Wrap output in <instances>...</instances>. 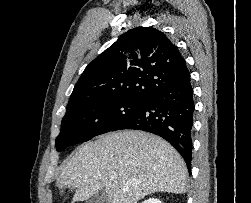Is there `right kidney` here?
Returning <instances> with one entry per match:
<instances>
[{"label":"right kidney","mask_w":251,"mask_h":203,"mask_svg":"<svg viewBox=\"0 0 251 203\" xmlns=\"http://www.w3.org/2000/svg\"><path fill=\"white\" fill-rule=\"evenodd\" d=\"M142 203H162V202L157 198H149V199L143 201Z\"/></svg>","instance_id":"1"}]
</instances>
